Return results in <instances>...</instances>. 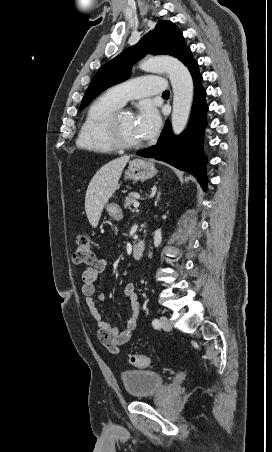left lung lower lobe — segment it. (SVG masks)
<instances>
[{
  "label": "left lung lower lobe",
  "instance_id": "obj_1",
  "mask_svg": "<svg viewBox=\"0 0 272 452\" xmlns=\"http://www.w3.org/2000/svg\"><path fill=\"white\" fill-rule=\"evenodd\" d=\"M181 61L188 67L194 82V102L188 128L181 135L175 136L169 121H167L157 144L141 150L137 154L147 158L154 157L191 173L197 178L202 188L206 190V158L202 154L207 112L206 92L202 87V76L198 71L197 62L193 59L190 50Z\"/></svg>",
  "mask_w": 272,
  "mask_h": 452
}]
</instances>
